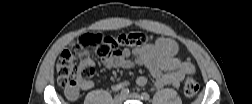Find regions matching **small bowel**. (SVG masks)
Returning <instances> with one entry per match:
<instances>
[{"label": "small bowel", "instance_id": "small-bowel-1", "mask_svg": "<svg viewBox=\"0 0 252 104\" xmlns=\"http://www.w3.org/2000/svg\"><path fill=\"white\" fill-rule=\"evenodd\" d=\"M177 43L166 37H159L152 44H144L134 50L123 49L115 51L110 57L103 60L106 68L131 69L135 66H144L155 79L157 88L165 86L180 87L185 75L195 72V66L177 55ZM86 65L94 67L91 59H85ZM148 80L145 76H139L136 84L143 87ZM128 86L127 81H120L112 86L113 91L123 90ZM94 82L90 79L81 81L80 89L90 90Z\"/></svg>", "mask_w": 252, "mask_h": 104}]
</instances>
